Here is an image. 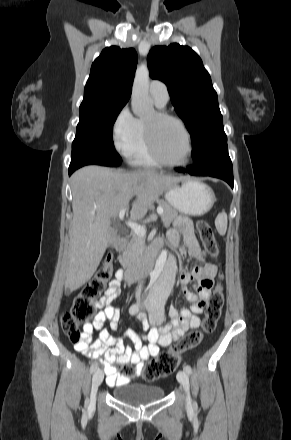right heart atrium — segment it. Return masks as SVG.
Wrapping results in <instances>:
<instances>
[{"mask_svg":"<svg viewBox=\"0 0 291 440\" xmlns=\"http://www.w3.org/2000/svg\"><path fill=\"white\" fill-rule=\"evenodd\" d=\"M137 134V119L127 107L117 115L112 126V138L116 150L127 155L132 147Z\"/></svg>","mask_w":291,"mask_h":440,"instance_id":"1","label":"right heart atrium"}]
</instances>
